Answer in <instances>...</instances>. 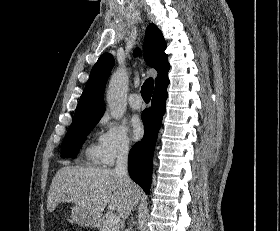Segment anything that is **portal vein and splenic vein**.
Masks as SVG:
<instances>
[{"label": "portal vein and splenic vein", "instance_id": "1", "mask_svg": "<svg viewBox=\"0 0 280 231\" xmlns=\"http://www.w3.org/2000/svg\"><path fill=\"white\" fill-rule=\"evenodd\" d=\"M107 221H109V223H119L120 221V217L119 215H116V213H111V215H107Z\"/></svg>", "mask_w": 280, "mask_h": 231}]
</instances>
